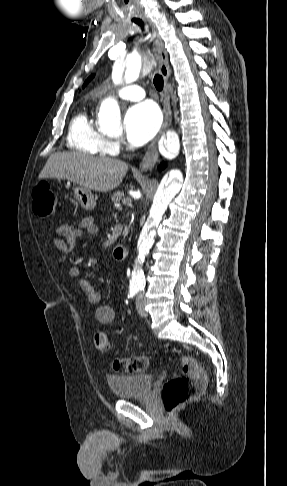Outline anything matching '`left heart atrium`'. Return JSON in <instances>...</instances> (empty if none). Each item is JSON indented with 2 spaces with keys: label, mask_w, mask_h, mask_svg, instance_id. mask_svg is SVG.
<instances>
[{
  "label": "left heart atrium",
  "mask_w": 287,
  "mask_h": 486,
  "mask_svg": "<svg viewBox=\"0 0 287 486\" xmlns=\"http://www.w3.org/2000/svg\"><path fill=\"white\" fill-rule=\"evenodd\" d=\"M161 115L151 102L132 106L124 117V129L128 142L132 146H141L148 142L158 131Z\"/></svg>",
  "instance_id": "1"
}]
</instances>
